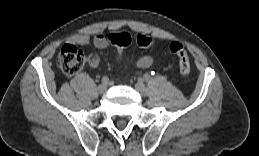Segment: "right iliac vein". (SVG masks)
I'll return each mask as SVG.
<instances>
[{"mask_svg": "<svg viewBox=\"0 0 259 156\" xmlns=\"http://www.w3.org/2000/svg\"><path fill=\"white\" fill-rule=\"evenodd\" d=\"M97 90H98V93H100V94L105 93V91L107 90V84H105V83L100 84L98 86Z\"/></svg>", "mask_w": 259, "mask_h": 156, "instance_id": "right-iliac-vein-1", "label": "right iliac vein"}]
</instances>
